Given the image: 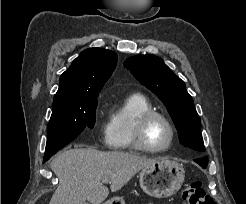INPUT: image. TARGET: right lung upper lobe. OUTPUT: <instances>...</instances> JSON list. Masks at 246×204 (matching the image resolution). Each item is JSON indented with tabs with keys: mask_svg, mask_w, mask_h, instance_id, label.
Wrapping results in <instances>:
<instances>
[{
	"mask_svg": "<svg viewBox=\"0 0 246 204\" xmlns=\"http://www.w3.org/2000/svg\"><path fill=\"white\" fill-rule=\"evenodd\" d=\"M117 63V54L103 48L81 52L61 75L54 102L85 98L99 94Z\"/></svg>",
	"mask_w": 246,
	"mask_h": 204,
	"instance_id": "cb5924a9",
	"label": "right lung upper lobe"
}]
</instances>
